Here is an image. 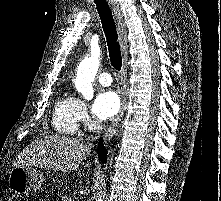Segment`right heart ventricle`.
<instances>
[{
  "label": "right heart ventricle",
  "instance_id": "right-heart-ventricle-1",
  "mask_svg": "<svg viewBox=\"0 0 221 201\" xmlns=\"http://www.w3.org/2000/svg\"><path fill=\"white\" fill-rule=\"evenodd\" d=\"M52 121L55 130L61 134L70 135L76 131L78 124L74 112V98L61 97L56 102Z\"/></svg>",
  "mask_w": 221,
  "mask_h": 201
}]
</instances>
